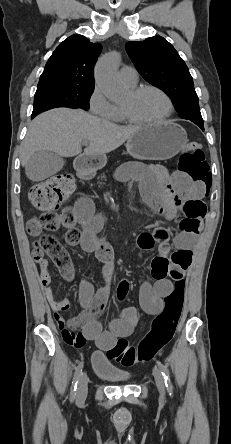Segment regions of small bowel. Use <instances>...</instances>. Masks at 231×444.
<instances>
[{"label": "small bowel", "mask_w": 231, "mask_h": 444, "mask_svg": "<svg viewBox=\"0 0 231 444\" xmlns=\"http://www.w3.org/2000/svg\"><path fill=\"white\" fill-rule=\"evenodd\" d=\"M115 178L128 183L130 193L134 184H138L146 203L166 219H173L184 208L187 202H201L205 185L187 178H173L162 166L143 164H125L115 173ZM72 220L63 223L67 230L66 241L71 246H80L84 251L93 253L105 264L106 284L94 291L87 279H83L79 289L81 313L69 320L63 312L69 308L67 298L57 301L54 298L48 262L42 252H34V260L40 272L44 296L54 313V318L62 331L63 339L70 345L80 348L87 340L93 341L101 350L113 348L117 341L130 336L140 322L136 308L128 306L121 310L119 316L104 329L98 317L104 310L110 295V277L114 253L112 246L97 236L102 224V217L95 213L92 200L87 196L80 197L71 209ZM79 225L80 228L75 226ZM196 234L182 232L175 239L176 250L170 252L167 232L162 229L155 233L144 232L137 238V245L142 250H151L158 243V255L151 262L153 283L143 282L139 292L142 310L149 315H158L164 308L166 297L173 291V282L184 278L192 262L193 244ZM129 290V282L121 280L117 286V297L124 299ZM80 328V331L76 330Z\"/></svg>", "instance_id": "small-bowel-1"}]
</instances>
